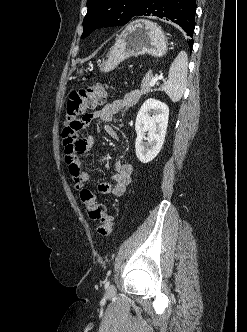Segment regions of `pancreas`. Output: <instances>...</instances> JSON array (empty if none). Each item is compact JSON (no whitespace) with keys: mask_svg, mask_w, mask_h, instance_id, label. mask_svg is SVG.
Segmentation results:
<instances>
[{"mask_svg":"<svg viewBox=\"0 0 247 332\" xmlns=\"http://www.w3.org/2000/svg\"><path fill=\"white\" fill-rule=\"evenodd\" d=\"M153 78V75L151 72L146 73L145 77L142 80L141 83V90L140 93L143 94H147L152 92L153 90L150 88V81Z\"/></svg>","mask_w":247,"mask_h":332,"instance_id":"pancreas-1","label":"pancreas"}]
</instances>
